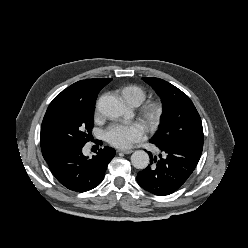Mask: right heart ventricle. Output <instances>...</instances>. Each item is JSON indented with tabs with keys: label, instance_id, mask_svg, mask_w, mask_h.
I'll return each instance as SVG.
<instances>
[{
	"label": "right heart ventricle",
	"instance_id": "1",
	"mask_svg": "<svg viewBox=\"0 0 248 248\" xmlns=\"http://www.w3.org/2000/svg\"><path fill=\"white\" fill-rule=\"evenodd\" d=\"M122 97L131 105L138 106L146 98V91L138 85H128L120 90Z\"/></svg>",
	"mask_w": 248,
	"mask_h": 248
}]
</instances>
